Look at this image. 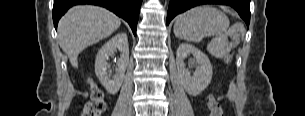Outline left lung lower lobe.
<instances>
[{
  "mask_svg": "<svg viewBox=\"0 0 305 116\" xmlns=\"http://www.w3.org/2000/svg\"><path fill=\"white\" fill-rule=\"evenodd\" d=\"M225 4L232 6L244 19L247 26L250 22V0H170L167 24L177 15L200 4Z\"/></svg>",
  "mask_w": 305,
  "mask_h": 116,
  "instance_id": "left-lung-lower-lobe-1",
  "label": "left lung lower lobe"
}]
</instances>
